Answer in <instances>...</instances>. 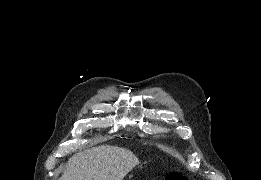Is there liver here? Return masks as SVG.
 Returning <instances> with one entry per match:
<instances>
[{
  "label": "liver",
  "instance_id": "liver-1",
  "mask_svg": "<svg viewBox=\"0 0 261 180\" xmlns=\"http://www.w3.org/2000/svg\"><path fill=\"white\" fill-rule=\"evenodd\" d=\"M138 164V158L126 148L96 146L69 158L60 180H124Z\"/></svg>",
  "mask_w": 261,
  "mask_h": 180
}]
</instances>
